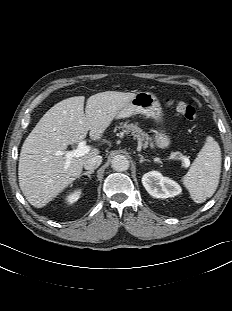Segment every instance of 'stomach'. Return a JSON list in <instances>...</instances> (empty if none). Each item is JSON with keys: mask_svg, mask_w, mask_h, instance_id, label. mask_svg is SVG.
<instances>
[{"mask_svg": "<svg viewBox=\"0 0 232 311\" xmlns=\"http://www.w3.org/2000/svg\"><path fill=\"white\" fill-rule=\"evenodd\" d=\"M136 114L154 119L157 123L162 122L163 119V110L159 100L153 93L146 91L136 93L135 97L118 112L117 118H127ZM153 132L157 147L165 149L170 146L171 140L163 130Z\"/></svg>", "mask_w": 232, "mask_h": 311, "instance_id": "obj_1", "label": "stomach"}]
</instances>
